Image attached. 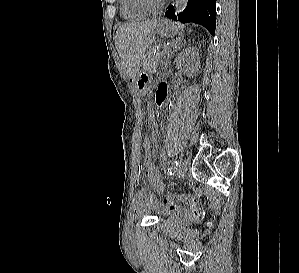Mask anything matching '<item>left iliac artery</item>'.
<instances>
[{
	"label": "left iliac artery",
	"mask_w": 299,
	"mask_h": 273,
	"mask_svg": "<svg viewBox=\"0 0 299 273\" xmlns=\"http://www.w3.org/2000/svg\"><path fill=\"white\" fill-rule=\"evenodd\" d=\"M178 161L175 160L168 169V174L172 175L175 170H177Z\"/></svg>",
	"instance_id": "left-iliac-artery-1"
}]
</instances>
